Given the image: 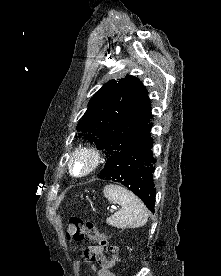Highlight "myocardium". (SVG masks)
Returning a JSON list of instances; mask_svg holds the SVG:
<instances>
[{
	"label": "myocardium",
	"instance_id": "obj_1",
	"mask_svg": "<svg viewBox=\"0 0 221 276\" xmlns=\"http://www.w3.org/2000/svg\"><path fill=\"white\" fill-rule=\"evenodd\" d=\"M78 161L83 162V168L77 170L75 165ZM101 163L100 152L91 146H79L75 148L69 157L68 168L75 177H86L97 170Z\"/></svg>",
	"mask_w": 221,
	"mask_h": 276
}]
</instances>
